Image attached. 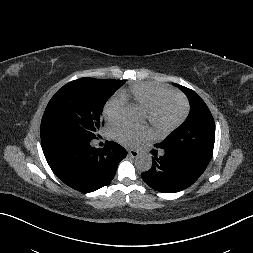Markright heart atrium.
I'll use <instances>...</instances> for the list:
<instances>
[{
	"label": "right heart atrium",
	"instance_id": "d8ad5b80",
	"mask_svg": "<svg viewBox=\"0 0 253 253\" xmlns=\"http://www.w3.org/2000/svg\"><path fill=\"white\" fill-rule=\"evenodd\" d=\"M126 99L120 94L112 96L104 105V117L108 124L120 123L123 118Z\"/></svg>",
	"mask_w": 253,
	"mask_h": 253
}]
</instances>
